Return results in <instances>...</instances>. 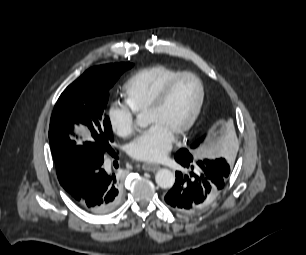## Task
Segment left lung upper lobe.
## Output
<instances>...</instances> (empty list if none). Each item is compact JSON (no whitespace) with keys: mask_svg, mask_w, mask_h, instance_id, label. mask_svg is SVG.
Segmentation results:
<instances>
[{"mask_svg":"<svg viewBox=\"0 0 306 255\" xmlns=\"http://www.w3.org/2000/svg\"><path fill=\"white\" fill-rule=\"evenodd\" d=\"M204 137L198 141H196L195 143H193L192 145L189 146V148L187 149L191 154L194 153V151L196 149H198L200 147V144L202 143ZM204 162L206 163H210L213 166H220V167H224V168H229V165L227 164V162L225 161V159H216V160H204Z\"/></svg>","mask_w":306,"mask_h":255,"instance_id":"5c2ea615","label":"left lung upper lobe"}]
</instances>
